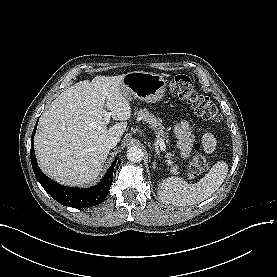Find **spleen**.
<instances>
[{
	"label": "spleen",
	"mask_w": 277,
	"mask_h": 277,
	"mask_svg": "<svg viewBox=\"0 0 277 277\" xmlns=\"http://www.w3.org/2000/svg\"><path fill=\"white\" fill-rule=\"evenodd\" d=\"M227 173L228 164L218 161L194 184H189L181 177H167L159 183L158 195L163 202H171L177 206L195 205L210 197L222 185Z\"/></svg>",
	"instance_id": "3e777b00"
}]
</instances>
